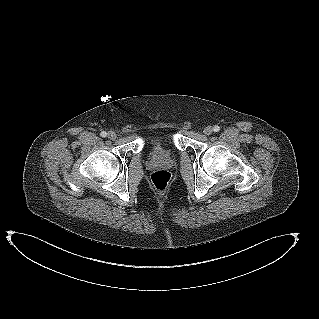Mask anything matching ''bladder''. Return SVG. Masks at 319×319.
I'll use <instances>...</instances> for the list:
<instances>
[{
  "instance_id": "1",
  "label": "bladder",
  "mask_w": 319,
  "mask_h": 319,
  "mask_svg": "<svg viewBox=\"0 0 319 319\" xmlns=\"http://www.w3.org/2000/svg\"><path fill=\"white\" fill-rule=\"evenodd\" d=\"M152 146H153V147H158V146H159V142H158V141L153 142Z\"/></svg>"
}]
</instances>
